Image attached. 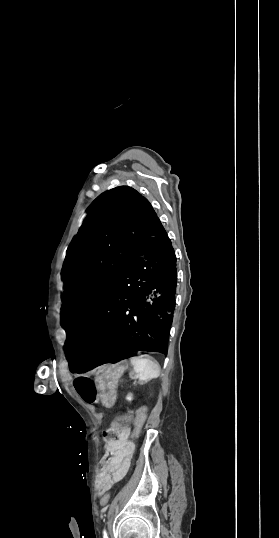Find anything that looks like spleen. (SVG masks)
Listing matches in <instances>:
<instances>
[{"mask_svg":"<svg viewBox=\"0 0 279 538\" xmlns=\"http://www.w3.org/2000/svg\"><path fill=\"white\" fill-rule=\"evenodd\" d=\"M131 364L134 366V372H137L139 378H143V380H152V378H158L160 374L159 364H157V362H152L149 356L131 358Z\"/></svg>","mask_w":279,"mask_h":538,"instance_id":"1","label":"spleen"}]
</instances>
